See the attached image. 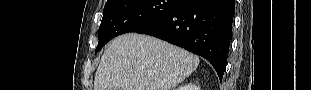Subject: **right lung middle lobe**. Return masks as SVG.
I'll return each instance as SVG.
<instances>
[{
	"mask_svg": "<svg viewBox=\"0 0 311 90\" xmlns=\"http://www.w3.org/2000/svg\"><path fill=\"white\" fill-rule=\"evenodd\" d=\"M181 0H109L104 6L96 52L109 40L138 30L170 13ZM95 52V53H96Z\"/></svg>",
	"mask_w": 311,
	"mask_h": 90,
	"instance_id": "obj_1",
	"label": "right lung middle lobe"
}]
</instances>
